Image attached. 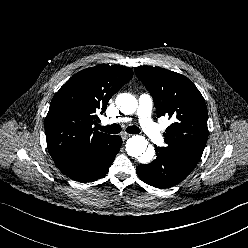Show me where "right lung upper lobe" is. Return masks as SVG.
Segmentation results:
<instances>
[{
    "instance_id": "obj_1",
    "label": "right lung upper lobe",
    "mask_w": 248,
    "mask_h": 248,
    "mask_svg": "<svg viewBox=\"0 0 248 248\" xmlns=\"http://www.w3.org/2000/svg\"><path fill=\"white\" fill-rule=\"evenodd\" d=\"M133 76L130 68L100 64L72 76L53 97L45 118L47 146L57 167L71 165L111 135L97 131V113Z\"/></svg>"
}]
</instances>
